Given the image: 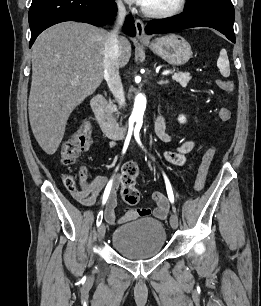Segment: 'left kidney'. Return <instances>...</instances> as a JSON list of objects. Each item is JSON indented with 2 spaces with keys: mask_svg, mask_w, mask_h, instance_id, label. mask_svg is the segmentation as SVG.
<instances>
[{
  "mask_svg": "<svg viewBox=\"0 0 261 306\" xmlns=\"http://www.w3.org/2000/svg\"><path fill=\"white\" fill-rule=\"evenodd\" d=\"M179 121L183 123V122L185 121V117H183V116L180 117V118H179Z\"/></svg>",
  "mask_w": 261,
  "mask_h": 306,
  "instance_id": "5707ae66",
  "label": "left kidney"
}]
</instances>
